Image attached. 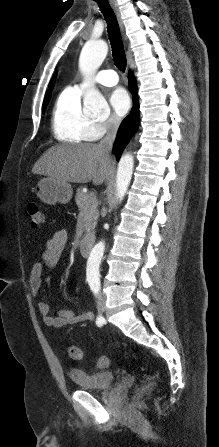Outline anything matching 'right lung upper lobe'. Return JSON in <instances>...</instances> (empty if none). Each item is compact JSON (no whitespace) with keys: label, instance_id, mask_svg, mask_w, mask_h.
<instances>
[{"label":"right lung upper lobe","instance_id":"obj_1","mask_svg":"<svg viewBox=\"0 0 219 447\" xmlns=\"http://www.w3.org/2000/svg\"><path fill=\"white\" fill-rule=\"evenodd\" d=\"M53 82H54V79H52V81H51V83H50V88L52 87ZM47 98H50V92H49V91L47 92V94H46V96H45V99H47Z\"/></svg>","mask_w":219,"mask_h":447}]
</instances>
